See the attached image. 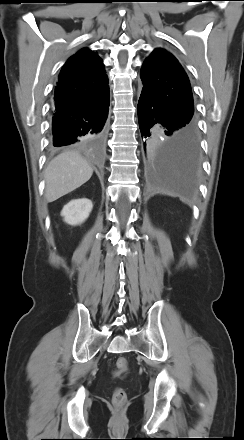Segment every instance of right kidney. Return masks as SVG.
<instances>
[{"label":"right kidney","mask_w":244,"mask_h":440,"mask_svg":"<svg viewBox=\"0 0 244 440\" xmlns=\"http://www.w3.org/2000/svg\"><path fill=\"white\" fill-rule=\"evenodd\" d=\"M92 208L93 204L87 198L73 199L63 207L61 216L67 224L79 225L89 217Z\"/></svg>","instance_id":"ca27d5eb"}]
</instances>
